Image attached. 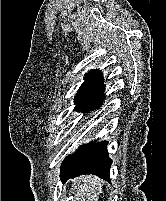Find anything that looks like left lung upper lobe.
I'll list each match as a JSON object with an SVG mask.
<instances>
[{
	"label": "left lung upper lobe",
	"mask_w": 166,
	"mask_h": 201,
	"mask_svg": "<svg viewBox=\"0 0 166 201\" xmlns=\"http://www.w3.org/2000/svg\"><path fill=\"white\" fill-rule=\"evenodd\" d=\"M85 81L77 91L75 109L77 111L88 112L90 109H97L104 100L103 76L99 70H91L85 74Z\"/></svg>",
	"instance_id": "obj_1"
}]
</instances>
